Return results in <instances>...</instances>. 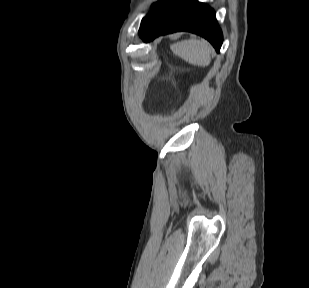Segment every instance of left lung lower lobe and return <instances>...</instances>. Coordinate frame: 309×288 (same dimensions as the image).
<instances>
[{"label": "left lung lower lobe", "mask_w": 309, "mask_h": 288, "mask_svg": "<svg viewBox=\"0 0 309 288\" xmlns=\"http://www.w3.org/2000/svg\"><path fill=\"white\" fill-rule=\"evenodd\" d=\"M189 31L206 38L220 51L223 37L215 12L197 0H161L143 20L139 36L148 42L159 35Z\"/></svg>", "instance_id": "1"}]
</instances>
